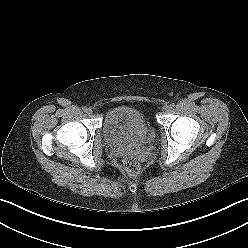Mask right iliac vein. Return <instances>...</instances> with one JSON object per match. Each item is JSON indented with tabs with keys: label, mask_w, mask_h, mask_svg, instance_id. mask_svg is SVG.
Returning <instances> with one entry per match:
<instances>
[{
	"label": "right iliac vein",
	"mask_w": 248,
	"mask_h": 248,
	"mask_svg": "<svg viewBox=\"0 0 248 248\" xmlns=\"http://www.w3.org/2000/svg\"><path fill=\"white\" fill-rule=\"evenodd\" d=\"M86 113H87L88 115H91V114H92V109L88 108L87 111H86Z\"/></svg>",
	"instance_id": "63e3f726"
}]
</instances>
